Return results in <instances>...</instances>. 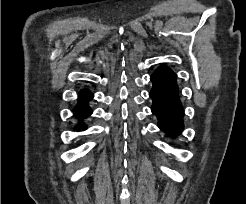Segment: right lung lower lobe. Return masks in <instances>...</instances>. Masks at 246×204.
Wrapping results in <instances>:
<instances>
[{
    "instance_id": "obj_1",
    "label": "right lung lower lobe",
    "mask_w": 246,
    "mask_h": 204,
    "mask_svg": "<svg viewBox=\"0 0 246 204\" xmlns=\"http://www.w3.org/2000/svg\"><path fill=\"white\" fill-rule=\"evenodd\" d=\"M92 98H93V95L91 92L87 90H82L80 92L79 102L74 110V114L78 119L86 118L92 113L90 107L87 104V102ZM82 129H83L82 125L77 127V130H82Z\"/></svg>"
}]
</instances>
